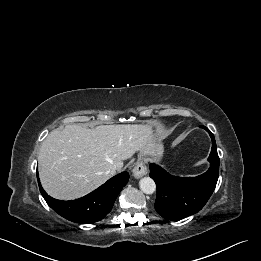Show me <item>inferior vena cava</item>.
Here are the masks:
<instances>
[{"label": "inferior vena cava", "mask_w": 261, "mask_h": 261, "mask_svg": "<svg viewBox=\"0 0 261 261\" xmlns=\"http://www.w3.org/2000/svg\"><path fill=\"white\" fill-rule=\"evenodd\" d=\"M121 171V168L117 167V166H114L112 167V169L110 170V174L111 175H114L116 172H120Z\"/></svg>", "instance_id": "602c4592"}]
</instances>
